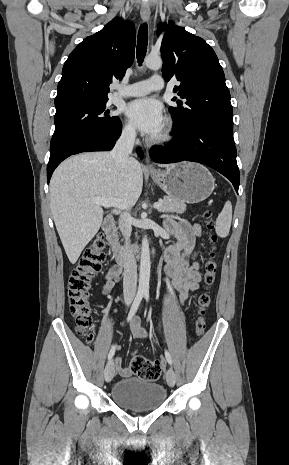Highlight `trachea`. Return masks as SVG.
<instances>
[{
    "label": "trachea",
    "instance_id": "1",
    "mask_svg": "<svg viewBox=\"0 0 289 465\" xmlns=\"http://www.w3.org/2000/svg\"><path fill=\"white\" fill-rule=\"evenodd\" d=\"M147 45H148V26L146 23H143L138 31L137 36V47H136V56L139 65L142 64L146 52H147Z\"/></svg>",
    "mask_w": 289,
    "mask_h": 465
}]
</instances>
